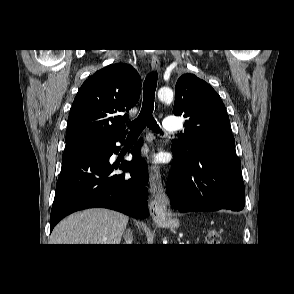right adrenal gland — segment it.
Instances as JSON below:
<instances>
[{
    "mask_svg": "<svg viewBox=\"0 0 294 294\" xmlns=\"http://www.w3.org/2000/svg\"><path fill=\"white\" fill-rule=\"evenodd\" d=\"M124 239H125V242H124V244H132V242H133V235H132V231H131V229L130 228H128L127 230H126V232L124 233Z\"/></svg>",
    "mask_w": 294,
    "mask_h": 294,
    "instance_id": "2a0ac1e0",
    "label": "right adrenal gland"
}]
</instances>
